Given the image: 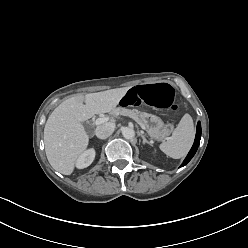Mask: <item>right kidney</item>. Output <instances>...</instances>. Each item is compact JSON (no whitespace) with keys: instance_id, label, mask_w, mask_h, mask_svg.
Returning a JSON list of instances; mask_svg holds the SVG:
<instances>
[{"instance_id":"obj_1","label":"right kidney","mask_w":248,"mask_h":248,"mask_svg":"<svg viewBox=\"0 0 248 248\" xmlns=\"http://www.w3.org/2000/svg\"><path fill=\"white\" fill-rule=\"evenodd\" d=\"M95 158V150L89 149L81 154L76 162V167L79 169H83L88 167Z\"/></svg>"}]
</instances>
